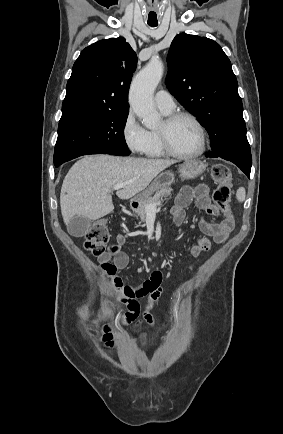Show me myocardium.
<instances>
[{"label":"myocardium","mask_w":283,"mask_h":434,"mask_svg":"<svg viewBox=\"0 0 283 434\" xmlns=\"http://www.w3.org/2000/svg\"><path fill=\"white\" fill-rule=\"evenodd\" d=\"M186 118L189 119L194 123L196 126L198 133H199V147L196 151L188 154H183L177 152L171 145L170 139H169V128L179 119ZM159 138L161 141L162 148L164 152L167 155H170L172 157L182 159V160H188V159H194L199 157L205 152L206 144H207V135L206 130L201 123V121L192 113L187 111H177L172 112L168 114L164 121H163V127L158 129Z\"/></svg>","instance_id":"f54148a6"}]
</instances>
